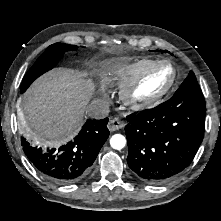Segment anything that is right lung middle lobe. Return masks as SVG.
I'll return each instance as SVG.
<instances>
[{
	"mask_svg": "<svg viewBox=\"0 0 221 221\" xmlns=\"http://www.w3.org/2000/svg\"><path fill=\"white\" fill-rule=\"evenodd\" d=\"M75 49H77V46L63 43H55L47 47L45 52L26 73L21 84V93H23L37 77L52 69L58 63L64 52Z\"/></svg>",
	"mask_w": 221,
	"mask_h": 221,
	"instance_id": "right-lung-middle-lobe-1",
	"label": "right lung middle lobe"
}]
</instances>
